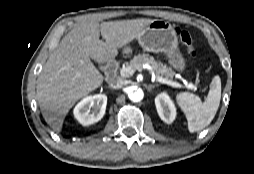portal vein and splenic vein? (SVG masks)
Returning a JSON list of instances; mask_svg holds the SVG:
<instances>
[{"mask_svg":"<svg viewBox=\"0 0 254 174\" xmlns=\"http://www.w3.org/2000/svg\"><path fill=\"white\" fill-rule=\"evenodd\" d=\"M135 70L132 68V67H124L120 70V75L122 77H129V76H132L134 74ZM157 81L162 83V84H166L168 86H171V87H174V88H182V87H186L188 89H191V90H195L196 89V86L189 83V84H186L185 86L178 83V82H175V81H172V80H169V79H166V78H163V77H157Z\"/></svg>","mask_w":254,"mask_h":174,"instance_id":"portal-vein-and-splenic-vein-1","label":"portal vein and splenic vein"}]
</instances>
